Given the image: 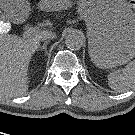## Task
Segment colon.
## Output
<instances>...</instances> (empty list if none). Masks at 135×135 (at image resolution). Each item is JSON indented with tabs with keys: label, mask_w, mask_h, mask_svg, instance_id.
<instances>
[{
	"label": "colon",
	"mask_w": 135,
	"mask_h": 135,
	"mask_svg": "<svg viewBox=\"0 0 135 135\" xmlns=\"http://www.w3.org/2000/svg\"><path fill=\"white\" fill-rule=\"evenodd\" d=\"M129 4L135 10V0H129Z\"/></svg>",
	"instance_id": "1"
}]
</instances>
